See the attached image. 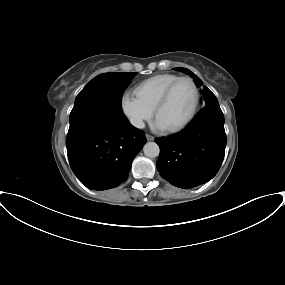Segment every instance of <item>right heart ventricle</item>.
Here are the masks:
<instances>
[{
  "label": "right heart ventricle",
  "instance_id": "right-heart-ventricle-1",
  "mask_svg": "<svg viewBox=\"0 0 285 285\" xmlns=\"http://www.w3.org/2000/svg\"><path fill=\"white\" fill-rule=\"evenodd\" d=\"M179 77L172 73L158 74L140 82L134 92L144 104L154 109L165 89Z\"/></svg>",
  "mask_w": 285,
  "mask_h": 285
}]
</instances>
